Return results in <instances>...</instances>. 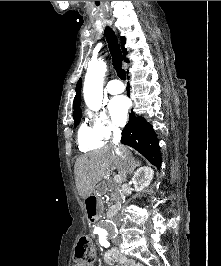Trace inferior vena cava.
I'll return each instance as SVG.
<instances>
[{
	"mask_svg": "<svg viewBox=\"0 0 221 266\" xmlns=\"http://www.w3.org/2000/svg\"><path fill=\"white\" fill-rule=\"evenodd\" d=\"M120 139L121 130L119 128H115L113 130L112 144L114 146L116 154L126 163L127 173H130L134 169V162L132 158L128 155L126 148L119 145ZM114 222L116 223V225H120L119 215H114Z\"/></svg>",
	"mask_w": 221,
	"mask_h": 266,
	"instance_id": "inferior-vena-cava-1",
	"label": "inferior vena cava"
}]
</instances>
